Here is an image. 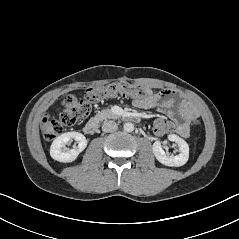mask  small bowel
<instances>
[{"instance_id": "1", "label": "small bowel", "mask_w": 239, "mask_h": 239, "mask_svg": "<svg viewBox=\"0 0 239 239\" xmlns=\"http://www.w3.org/2000/svg\"><path fill=\"white\" fill-rule=\"evenodd\" d=\"M151 93L152 97L150 98H134L133 105L141 109L163 110L169 117V133H175L184 138L188 137L190 128L198 122V112L195 107L190 102L181 99L172 90Z\"/></svg>"}]
</instances>
